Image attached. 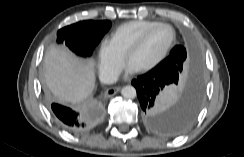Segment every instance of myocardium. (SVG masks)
<instances>
[{"mask_svg":"<svg viewBox=\"0 0 244 157\" xmlns=\"http://www.w3.org/2000/svg\"><path fill=\"white\" fill-rule=\"evenodd\" d=\"M159 27H167V28H170L172 30V33H173L172 39H171L170 43L168 44V46L164 49V51L153 62H151L150 64H148V65H146V66H144V67H142L140 69H138L137 70L138 72L145 73V72L151 71L156 66H158L165 59V57L168 55V53L170 52V50L173 48V46L176 43L177 33H176L175 28L171 24H168V23H163V22L157 23V24L151 26L150 28L146 29L134 41V43L127 49V51H126V53L124 55L125 61L127 63H129V59L132 56V54L134 52H136L143 45V43L145 42V40L148 37V35L152 31H154L155 29H157Z\"/></svg>","mask_w":244,"mask_h":157,"instance_id":"f54148a6","label":"myocardium"}]
</instances>
